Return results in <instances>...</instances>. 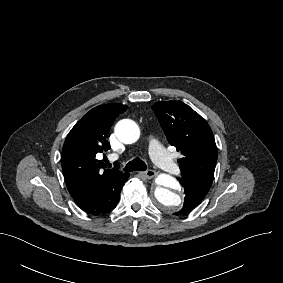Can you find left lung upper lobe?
I'll list each match as a JSON object with an SVG mask.
<instances>
[{"instance_id":"5c2ea615","label":"left lung upper lobe","mask_w":283,"mask_h":283,"mask_svg":"<svg viewBox=\"0 0 283 283\" xmlns=\"http://www.w3.org/2000/svg\"><path fill=\"white\" fill-rule=\"evenodd\" d=\"M153 110L171 145L181 151V177L212 184L217 162V147L208 123L181 101L155 103Z\"/></svg>"}]
</instances>
